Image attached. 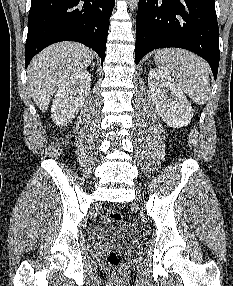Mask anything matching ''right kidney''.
<instances>
[{"mask_svg":"<svg viewBox=\"0 0 233 286\" xmlns=\"http://www.w3.org/2000/svg\"><path fill=\"white\" fill-rule=\"evenodd\" d=\"M90 89L91 75L87 70L76 72L62 83L51 107V117L57 126H64L75 118Z\"/></svg>","mask_w":233,"mask_h":286,"instance_id":"ca27d5eb","label":"right kidney"}]
</instances>
